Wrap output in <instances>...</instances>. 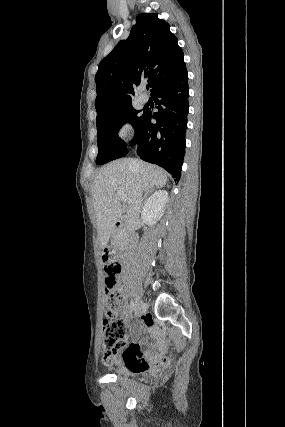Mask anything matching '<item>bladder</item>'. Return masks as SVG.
<instances>
[{
	"mask_svg": "<svg viewBox=\"0 0 285 427\" xmlns=\"http://www.w3.org/2000/svg\"><path fill=\"white\" fill-rule=\"evenodd\" d=\"M114 373L117 376H124V377H128V378H136L140 374L144 373V371L143 370H130L128 368H117V369H115Z\"/></svg>",
	"mask_w": 285,
	"mask_h": 427,
	"instance_id": "1",
	"label": "bladder"
}]
</instances>
